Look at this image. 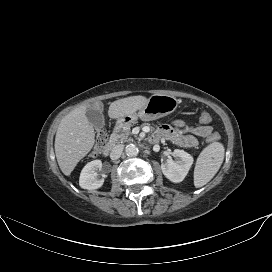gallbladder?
Returning <instances> with one entry per match:
<instances>
[{"instance_id": "gallbladder-1", "label": "gallbladder", "mask_w": 272, "mask_h": 272, "mask_svg": "<svg viewBox=\"0 0 272 272\" xmlns=\"http://www.w3.org/2000/svg\"><path fill=\"white\" fill-rule=\"evenodd\" d=\"M88 121L96 128L101 129L105 126V119L102 110L90 107L86 111Z\"/></svg>"}]
</instances>
